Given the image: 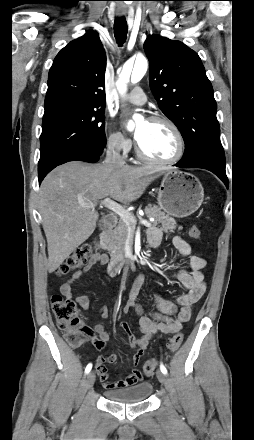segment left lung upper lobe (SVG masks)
Returning <instances> with one entry per match:
<instances>
[{
  "label": "left lung upper lobe",
  "mask_w": 254,
  "mask_h": 440,
  "mask_svg": "<svg viewBox=\"0 0 254 440\" xmlns=\"http://www.w3.org/2000/svg\"><path fill=\"white\" fill-rule=\"evenodd\" d=\"M150 88L185 142L184 161L213 152L224 156L213 88L198 54L180 41L150 35L144 43Z\"/></svg>",
  "instance_id": "5c2ea615"
}]
</instances>
